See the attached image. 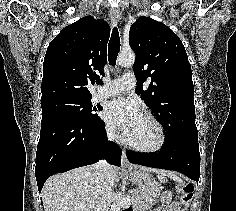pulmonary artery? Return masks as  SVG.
I'll return each instance as SVG.
<instances>
[{"instance_id":"1","label":"pulmonary artery","mask_w":236,"mask_h":211,"mask_svg":"<svg viewBox=\"0 0 236 211\" xmlns=\"http://www.w3.org/2000/svg\"><path fill=\"white\" fill-rule=\"evenodd\" d=\"M136 87V78L132 74H125L122 77L106 83L96 94L97 99L114 96L123 91Z\"/></svg>"}]
</instances>
